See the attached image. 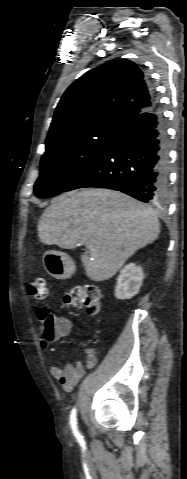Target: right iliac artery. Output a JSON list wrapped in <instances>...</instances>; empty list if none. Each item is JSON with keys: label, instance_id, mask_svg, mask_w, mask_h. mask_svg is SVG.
<instances>
[{"label": "right iliac artery", "instance_id": "obj_1", "mask_svg": "<svg viewBox=\"0 0 187 479\" xmlns=\"http://www.w3.org/2000/svg\"><path fill=\"white\" fill-rule=\"evenodd\" d=\"M76 415H77V412H76V409L74 408L71 412V415H70V425H71V428L73 430V433L75 435H79V432H78V429H77V418H76Z\"/></svg>", "mask_w": 187, "mask_h": 479}]
</instances>
